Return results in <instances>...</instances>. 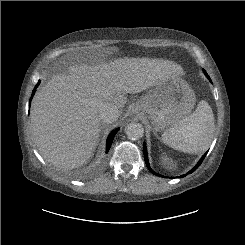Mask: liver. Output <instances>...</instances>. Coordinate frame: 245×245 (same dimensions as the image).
I'll list each match as a JSON object with an SVG mask.
<instances>
[{
	"instance_id": "liver-1",
	"label": "liver",
	"mask_w": 245,
	"mask_h": 245,
	"mask_svg": "<svg viewBox=\"0 0 245 245\" xmlns=\"http://www.w3.org/2000/svg\"><path fill=\"white\" fill-rule=\"evenodd\" d=\"M170 74L181 75L183 69L168 60L118 58L73 64L67 74L54 75L32 102L31 132L39 153L60 169L82 166L98 143L99 106L111 103L121 110L126 93H140Z\"/></svg>"
}]
</instances>
